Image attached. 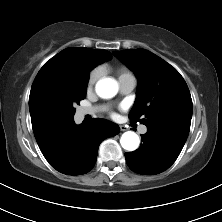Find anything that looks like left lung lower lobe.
Returning a JSON list of instances; mask_svg holds the SVG:
<instances>
[{"label": "left lung lower lobe", "mask_w": 222, "mask_h": 222, "mask_svg": "<svg viewBox=\"0 0 222 222\" xmlns=\"http://www.w3.org/2000/svg\"><path fill=\"white\" fill-rule=\"evenodd\" d=\"M188 131L180 124H163L148 128L141 135L143 144L134 152L125 153L129 168L144 175L159 174L167 170L179 156Z\"/></svg>", "instance_id": "1"}]
</instances>
